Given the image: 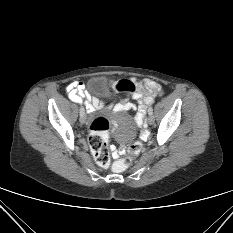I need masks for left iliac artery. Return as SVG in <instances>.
Wrapping results in <instances>:
<instances>
[{
  "instance_id": "1",
  "label": "left iliac artery",
  "mask_w": 233,
  "mask_h": 233,
  "mask_svg": "<svg viewBox=\"0 0 233 233\" xmlns=\"http://www.w3.org/2000/svg\"><path fill=\"white\" fill-rule=\"evenodd\" d=\"M148 113H149L150 115H152V113H153V108H152V107H149Z\"/></svg>"
}]
</instances>
